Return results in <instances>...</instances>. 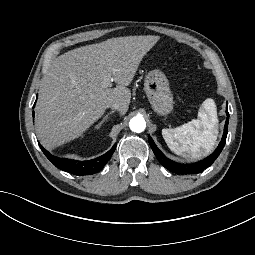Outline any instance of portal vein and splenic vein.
Listing matches in <instances>:
<instances>
[{"label":"portal vein and splenic vein","instance_id":"obj_1","mask_svg":"<svg viewBox=\"0 0 255 255\" xmlns=\"http://www.w3.org/2000/svg\"><path fill=\"white\" fill-rule=\"evenodd\" d=\"M114 73L112 72L111 76L106 80V83L104 84L105 88H108L110 86V82L113 79Z\"/></svg>","mask_w":255,"mask_h":255}]
</instances>
